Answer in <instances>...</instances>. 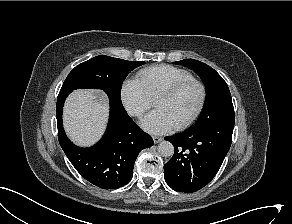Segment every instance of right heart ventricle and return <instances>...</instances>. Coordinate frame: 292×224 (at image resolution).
Segmentation results:
<instances>
[{"mask_svg": "<svg viewBox=\"0 0 292 224\" xmlns=\"http://www.w3.org/2000/svg\"><path fill=\"white\" fill-rule=\"evenodd\" d=\"M191 77L193 76L189 71L168 64L150 66L137 74V80L152 99L163 89Z\"/></svg>", "mask_w": 292, "mask_h": 224, "instance_id": "1", "label": "right heart ventricle"}]
</instances>
